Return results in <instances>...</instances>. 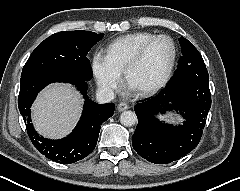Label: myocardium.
Segmentation results:
<instances>
[{
    "mask_svg": "<svg viewBox=\"0 0 240 191\" xmlns=\"http://www.w3.org/2000/svg\"><path fill=\"white\" fill-rule=\"evenodd\" d=\"M160 39H166L171 44L172 56H171L170 63L168 65V68H167L164 76L157 84H155L151 87L134 89L140 96L153 95L156 92H158L159 90H161L168 83V81L172 75L173 69L175 67L176 60H177V47H176V44H175L173 38H171L170 36L165 35V34H158V35L153 36L152 38H150L148 41H146L141 46V48L138 50V52L135 54V56L129 61V63L126 65V67L124 69V78H125L126 83L129 84V76H130V73L132 72V70L143 61L150 46L154 42H156L157 40H160Z\"/></svg>",
    "mask_w": 240,
    "mask_h": 191,
    "instance_id": "obj_1",
    "label": "myocardium"
}]
</instances>
